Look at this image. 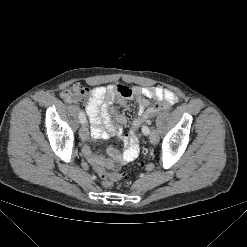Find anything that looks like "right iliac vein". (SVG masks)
<instances>
[{"label": "right iliac vein", "mask_w": 247, "mask_h": 247, "mask_svg": "<svg viewBox=\"0 0 247 247\" xmlns=\"http://www.w3.org/2000/svg\"><path fill=\"white\" fill-rule=\"evenodd\" d=\"M79 135H80V138L84 141L89 138V130L85 123L81 126L79 130Z\"/></svg>", "instance_id": "63e3f726"}]
</instances>
